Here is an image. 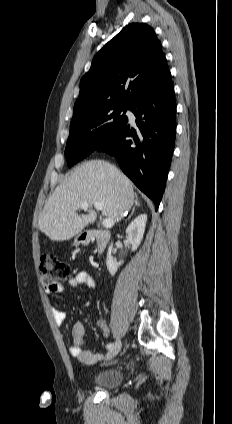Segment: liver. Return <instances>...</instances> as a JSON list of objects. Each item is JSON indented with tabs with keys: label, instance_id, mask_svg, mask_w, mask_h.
I'll list each match as a JSON object with an SVG mask.
<instances>
[{
	"label": "liver",
	"instance_id": "obj_1",
	"mask_svg": "<svg viewBox=\"0 0 232 424\" xmlns=\"http://www.w3.org/2000/svg\"><path fill=\"white\" fill-rule=\"evenodd\" d=\"M135 196L132 182L117 167L102 160L87 161L56 187L40 215L39 229L53 241L69 240L96 221L95 202H103L102 215L117 222ZM81 203H88V214L76 213Z\"/></svg>",
	"mask_w": 232,
	"mask_h": 424
}]
</instances>
